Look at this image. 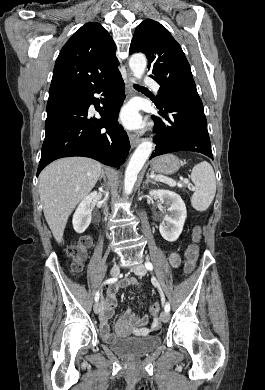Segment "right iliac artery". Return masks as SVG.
Wrapping results in <instances>:
<instances>
[{
	"mask_svg": "<svg viewBox=\"0 0 265 390\" xmlns=\"http://www.w3.org/2000/svg\"><path fill=\"white\" fill-rule=\"evenodd\" d=\"M116 281H117V278H109V279H107V280L104 282V284H110V283H114V282H116ZM99 296H100L99 291H97L96 294H95V301H96V302L99 300Z\"/></svg>",
	"mask_w": 265,
	"mask_h": 390,
	"instance_id": "82829eb1",
	"label": "right iliac artery"
}]
</instances>
